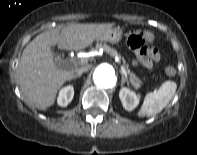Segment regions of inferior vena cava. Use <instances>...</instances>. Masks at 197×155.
Returning a JSON list of instances; mask_svg holds the SVG:
<instances>
[{
	"label": "inferior vena cava",
	"instance_id": "obj_1",
	"mask_svg": "<svg viewBox=\"0 0 197 155\" xmlns=\"http://www.w3.org/2000/svg\"><path fill=\"white\" fill-rule=\"evenodd\" d=\"M89 68H90L89 65H85V66H82L80 68H77L75 71L77 72V74H80L81 75L82 73L88 71Z\"/></svg>",
	"mask_w": 197,
	"mask_h": 155
}]
</instances>
